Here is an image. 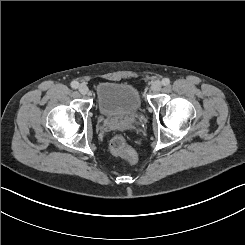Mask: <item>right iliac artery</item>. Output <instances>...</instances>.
<instances>
[{
	"mask_svg": "<svg viewBox=\"0 0 245 245\" xmlns=\"http://www.w3.org/2000/svg\"><path fill=\"white\" fill-rule=\"evenodd\" d=\"M71 87H72L73 89H77V88L79 87V83H78L77 81H72V82H71Z\"/></svg>",
	"mask_w": 245,
	"mask_h": 245,
	"instance_id": "1",
	"label": "right iliac artery"
}]
</instances>
